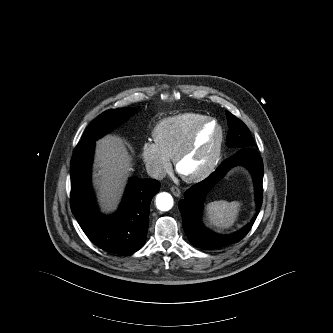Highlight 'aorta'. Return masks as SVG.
Instances as JSON below:
<instances>
[{
    "label": "aorta",
    "mask_w": 333,
    "mask_h": 333,
    "mask_svg": "<svg viewBox=\"0 0 333 333\" xmlns=\"http://www.w3.org/2000/svg\"><path fill=\"white\" fill-rule=\"evenodd\" d=\"M156 206L161 211H169L173 207V198L167 192L159 193L156 196Z\"/></svg>",
    "instance_id": "obj_1"
}]
</instances>
